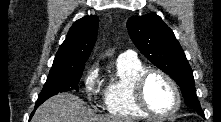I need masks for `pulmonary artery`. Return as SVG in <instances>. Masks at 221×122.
<instances>
[{
  "instance_id": "1",
  "label": "pulmonary artery",
  "mask_w": 221,
  "mask_h": 122,
  "mask_svg": "<svg viewBox=\"0 0 221 122\" xmlns=\"http://www.w3.org/2000/svg\"><path fill=\"white\" fill-rule=\"evenodd\" d=\"M119 58L130 59V60H137L136 53L134 51H132V50H128V51L122 52L119 55Z\"/></svg>"
}]
</instances>
